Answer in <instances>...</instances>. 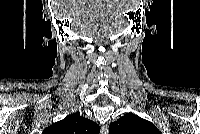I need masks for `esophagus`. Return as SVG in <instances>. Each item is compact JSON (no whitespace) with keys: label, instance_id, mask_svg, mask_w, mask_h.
I'll use <instances>...</instances> for the list:
<instances>
[{"label":"esophagus","instance_id":"34e87169","mask_svg":"<svg viewBox=\"0 0 200 134\" xmlns=\"http://www.w3.org/2000/svg\"><path fill=\"white\" fill-rule=\"evenodd\" d=\"M101 134H108V126L107 125H103L101 127V131H100Z\"/></svg>","mask_w":200,"mask_h":134}]
</instances>
